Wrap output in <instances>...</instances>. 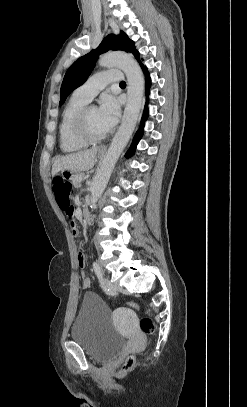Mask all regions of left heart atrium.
Returning <instances> with one entry per match:
<instances>
[{
	"instance_id": "1",
	"label": "left heart atrium",
	"mask_w": 247,
	"mask_h": 407,
	"mask_svg": "<svg viewBox=\"0 0 247 407\" xmlns=\"http://www.w3.org/2000/svg\"><path fill=\"white\" fill-rule=\"evenodd\" d=\"M98 111L101 120L108 129H111L117 123L120 109L117 100L113 96L104 95L101 98Z\"/></svg>"
}]
</instances>
